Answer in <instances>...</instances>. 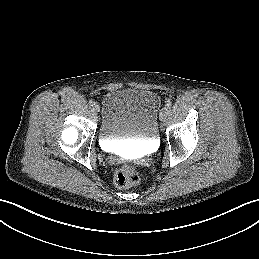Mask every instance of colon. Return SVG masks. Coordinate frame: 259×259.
I'll list each match as a JSON object with an SVG mask.
<instances>
[{"label": "colon", "mask_w": 259, "mask_h": 259, "mask_svg": "<svg viewBox=\"0 0 259 259\" xmlns=\"http://www.w3.org/2000/svg\"><path fill=\"white\" fill-rule=\"evenodd\" d=\"M113 180L117 187L128 188L138 184V170L132 165H121L114 170Z\"/></svg>", "instance_id": "5ec220e1"}]
</instances>
